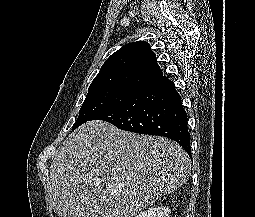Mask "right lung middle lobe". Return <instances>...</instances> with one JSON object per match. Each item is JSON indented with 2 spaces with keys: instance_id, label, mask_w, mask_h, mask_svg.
Here are the masks:
<instances>
[{
  "instance_id": "dd1d6c3e",
  "label": "right lung middle lobe",
  "mask_w": 255,
  "mask_h": 217,
  "mask_svg": "<svg viewBox=\"0 0 255 217\" xmlns=\"http://www.w3.org/2000/svg\"><path fill=\"white\" fill-rule=\"evenodd\" d=\"M144 88L139 85H112L89 90L72 130L92 120L95 116L134 98Z\"/></svg>"
}]
</instances>
